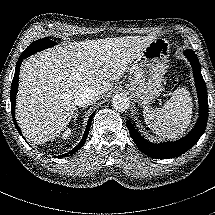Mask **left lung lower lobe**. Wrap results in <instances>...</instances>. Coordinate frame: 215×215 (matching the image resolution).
I'll return each instance as SVG.
<instances>
[{
    "label": "left lung lower lobe",
    "mask_w": 215,
    "mask_h": 215,
    "mask_svg": "<svg viewBox=\"0 0 215 215\" xmlns=\"http://www.w3.org/2000/svg\"><path fill=\"white\" fill-rule=\"evenodd\" d=\"M184 55L189 59L192 65L199 98V118L195 127L189 132V134H187V136L178 141L157 144L144 139L130 121L126 123L130 135L139 150L152 158L169 159L184 154L198 142L207 125V90L205 81L201 74V66L193 50H186Z\"/></svg>",
    "instance_id": "0a47b994"
}]
</instances>
